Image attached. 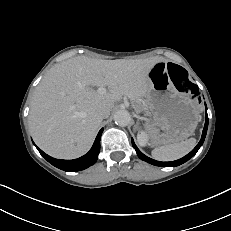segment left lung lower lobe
Returning <instances> with one entry per match:
<instances>
[{
  "label": "left lung lower lobe",
  "mask_w": 231,
  "mask_h": 231,
  "mask_svg": "<svg viewBox=\"0 0 231 231\" xmlns=\"http://www.w3.org/2000/svg\"><path fill=\"white\" fill-rule=\"evenodd\" d=\"M207 128H208V116H207V108H206V121H205V125H204V129H203V133H202V137L201 140L199 141V143L197 144V146L186 156H184L183 158L176 160V161H171V162H160V161H156L154 159H151L147 156H145L135 145L133 139H132V145L134 147V149L136 150V153L138 155V157L152 165L155 166H161V167H175V166H179L183 163H185L186 161H188L190 158H192L197 151L199 150V148L202 146L205 137H206V133H207Z\"/></svg>",
  "instance_id": "1"
}]
</instances>
